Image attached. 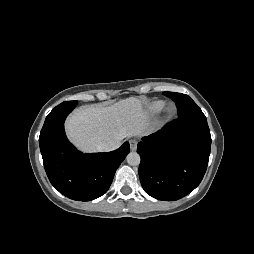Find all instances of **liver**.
<instances>
[{
    "label": "liver",
    "instance_id": "6515ba94",
    "mask_svg": "<svg viewBox=\"0 0 254 254\" xmlns=\"http://www.w3.org/2000/svg\"><path fill=\"white\" fill-rule=\"evenodd\" d=\"M143 100L129 97L111 106H84L66 122L70 140L82 151L96 152L112 139L141 135L147 126Z\"/></svg>",
    "mask_w": 254,
    "mask_h": 254
}]
</instances>
